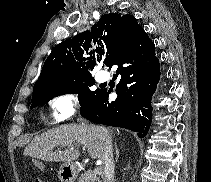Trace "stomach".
I'll return each mask as SVG.
<instances>
[{"label": "stomach", "mask_w": 211, "mask_h": 182, "mask_svg": "<svg viewBox=\"0 0 211 182\" xmlns=\"http://www.w3.org/2000/svg\"><path fill=\"white\" fill-rule=\"evenodd\" d=\"M78 175V168L74 163H63L58 171V178L61 182H75Z\"/></svg>", "instance_id": "obj_1"}]
</instances>
